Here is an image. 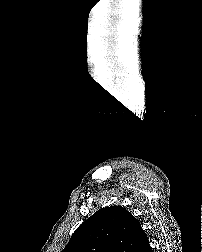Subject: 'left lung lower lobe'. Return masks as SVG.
<instances>
[{"instance_id": "obj_1", "label": "left lung lower lobe", "mask_w": 202, "mask_h": 252, "mask_svg": "<svg viewBox=\"0 0 202 252\" xmlns=\"http://www.w3.org/2000/svg\"><path fill=\"white\" fill-rule=\"evenodd\" d=\"M134 252H153L147 234L142 228H140V231L138 233V239Z\"/></svg>"}]
</instances>
